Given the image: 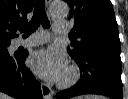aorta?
<instances>
[{"label": "aorta", "mask_w": 128, "mask_h": 99, "mask_svg": "<svg viewBox=\"0 0 128 99\" xmlns=\"http://www.w3.org/2000/svg\"><path fill=\"white\" fill-rule=\"evenodd\" d=\"M50 11L55 18H64L69 14V6L62 0H54L50 5ZM48 97L51 99V95Z\"/></svg>", "instance_id": "obj_1"}]
</instances>
